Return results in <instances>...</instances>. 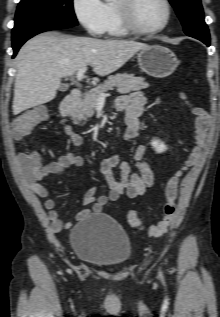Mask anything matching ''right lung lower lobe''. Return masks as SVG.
I'll return each mask as SVG.
<instances>
[{
    "mask_svg": "<svg viewBox=\"0 0 220 317\" xmlns=\"http://www.w3.org/2000/svg\"><path fill=\"white\" fill-rule=\"evenodd\" d=\"M69 27H73V25L52 21L34 24L21 30L17 34L12 35V47L14 50L13 57L17 54L19 48L23 45V43L34 35L48 30L64 29Z\"/></svg>",
    "mask_w": 220,
    "mask_h": 317,
    "instance_id": "obj_1",
    "label": "right lung lower lobe"
}]
</instances>
